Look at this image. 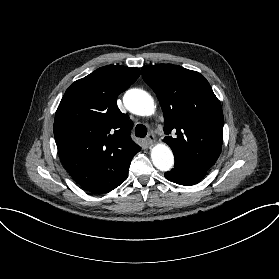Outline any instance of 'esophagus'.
Segmentation results:
<instances>
[{"label": "esophagus", "mask_w": 279, "mask_h": 279, "mask_svg": "<svg viewBox=\"0 0 279 279\" xmlns=\"http://www.w3.org/2000/svg\"><path fill=\"white\" fill-rule=\"evenodd\" d=\"M146 142L148 145H153L156 142L155 136L153 134H149L146 138Z\"/></svg>", "instance_id": "34e87169"}]
</instances>
